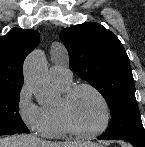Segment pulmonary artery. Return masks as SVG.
<instances>
[{
    "mask_svg": "<svg viewBox=\"0 0 145 147\" xmlns=\"http://www.w3.org/2000/svg\"><path fill=\"white\" fill-rule=\"evenodd\" d=\"M49 74L52 80L71 81L73 74L66 64H54L50 67Z\"/></svg>",
    "mask_w": 145,
    "mask_h": 147,
    "instance_id": "obj_1",
    "label": "pulmonary artery"
}]
</instances>
